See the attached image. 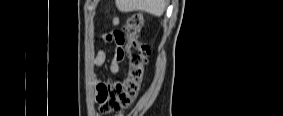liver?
<instances>
[{
    "label": "liver",
    "instance_id": "liver-1",
    "mask_svg": "<svg viewBox=\"0 0 283 116\" xmlns=\"http://www.w3.org/2000/svg\"><path fill=\"white\" fill-rule=\"evenodd\" d=\"M167 0H116L121 12L145 11L154 16H161L165 11Z\"/></svg>",
    "mask_w": 283,
    "mask_h": 116
}]
</instances>
